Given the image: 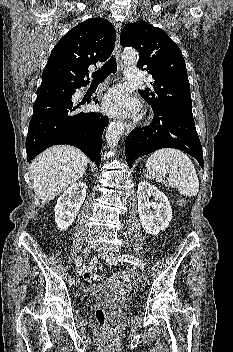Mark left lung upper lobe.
<instances>
[{"instance_id":"left-lung-upper-lobe-1","label":"left lung upper lobe","mask_w":233,"mask_h":352,"mask_svg":"<svg viewBox=\"0 0 233 352\" xmlns=\"http://www.w3.org/2000/svg\"><path fill=\"white\" fill-rule=\"evenodd\" d=\"M120 42L123 47L132 46L139 51L137 67L152 75V88L139 90L152 109H166L193 118L185 60L168 34L138 21L122 29Z\"/></svg>"}]
</instances>
